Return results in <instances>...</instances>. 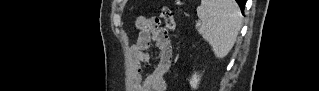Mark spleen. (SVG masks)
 <instances>
[{
    "instance_id": "spleen-1",
    "label": "spleen",
    "mask_w": 319,
    "mask_h": 91,
    "mask_svg": "<svg viewBox=\"0 0 319 91\" xmlns=\"http://www.w3.org/2000/svg\"><path fill=\"white\" fill-rule=\"evenodd\" d=\"M197 16L202 22L199 32L203 39L211 45L217 58H224L242 26L238 4L234 0H202Z\"/></svg>"
}]
</instances>
